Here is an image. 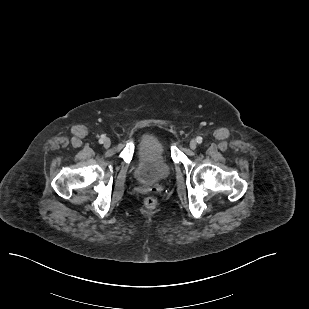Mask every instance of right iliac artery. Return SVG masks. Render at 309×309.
Here are the masks:
<instances>
[{
    "label": "right iliac artery",
    "mask_w": 309,
    "mask_h": 309,
    "mask_svg": "<svg viewBox=\"0 0 309 309\" xmlns=\"http://www.w3.org/2000/svg\"><path fill=\"white\" fill-rule=\"evenodd\" d=\"M104 137H105V136H102V137L99 139V143H101V144L103 143Z\"/></svg>",
    "instance_id": "right-iliac-artery-1"
}]
</instances>
